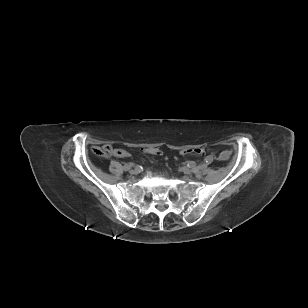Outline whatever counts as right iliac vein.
Returning a JSON list of instances; mask_svg holds the SVG:
<instances>
[{
  "instance_id": "1",
  "label": "right iliac vein",
  "mask_w": 308,
  "mask_h": 308,
  "mask_svg": "<svg viewBox=\"0 0 308 308\" xmlns=\"http://www.w3.org/2000/svg\"><path fill=\"white\" fill-rule=\"evenodd\" d=\"M130 173L133 174V175H136V174H138V169H136V168L131 169Z\"/></svg>"
}]
</instances>
